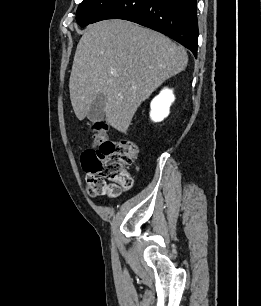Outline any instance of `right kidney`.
<instances>
[{
  "label": "right kidney",
  "instance_id": "right-kidney-1",
  "mask_svg": "<svg viewBox=\"0 0 261 306\" xmlns=\"http://www.w3.org/2000/svg\"><path fill=\"white\" fill-rule=\"evenodd\" d=\"M175 100L173 91L171 89H163L158 96H156L151 104L150 117L153 121L159 122L162 121L165 117L168 116L170 106Z\"/></svg>",
  "mask_w": 261,
  "mask_h": 306
}]
</instances>
